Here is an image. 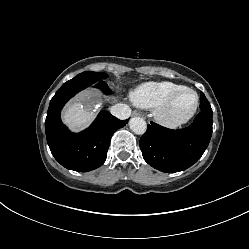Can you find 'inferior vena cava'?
<instances>
[{
  "mask_svg": "<svg viewBox=\"0 0 249 249\" xmlns=\"http://www.w3.org/2000/svg\"><path fill=\"white\" fill-rule=\"evenodd\" d=\"M111 114L119 119H127L131 114V109L126 104H115L110 109Z\"/></svg>",
  "mask_w": 249,
  "mask_h": 249,
  "instance_id": "inferior-vena-cava-1",
  "label": "inferior vena cava"
}]
</instances>
